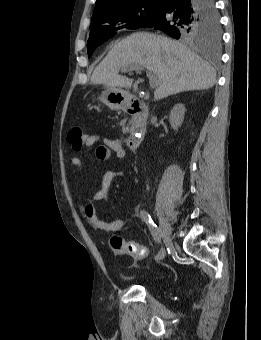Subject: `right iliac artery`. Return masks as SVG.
Returning a JSON list of instances; mask_svg holds the SVG:
<instances>
[{
	"label": "right iliac artery",
	"mask_w": 261,
	"mask_h": 340,
	"mask_svg": "<svg viewBox=\"0 0 261 340\" xmlns=\"http://www.w3.org/2000/svg\"><path fill=\"white\" fill-rule=\"evenodd\" d=\"M140 217L148 225V228L151 232L153 239L160 245V249L155 256V260L157 262H160L165 257V249L161 243V237H162L161 231L157 227V225L153 222L150 214L146 210L140 211Z\"/></svg>",
	"instance_id": "1"
}]
</instances>
